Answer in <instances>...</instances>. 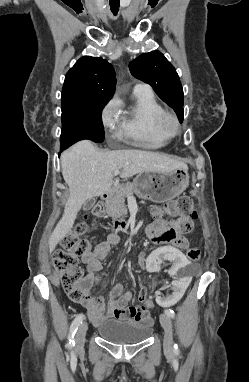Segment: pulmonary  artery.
<instances>
[{"label":"pulmonary artery","mask_w":249,"mask_h":382,"mask_svg":"<svg viewBox=\"0 0 249 382\" xmlns=\"http://www.w3.org/2000/svg\"><path fill=\"white\" fill-rule=\"evenodd\" d=\"M134 90L135 91H151V88L149 85L147 84H144V83H137L135 86H134Z\"/></svg>","instance_id":"pulmonary-artery-1"}]
</instances>
